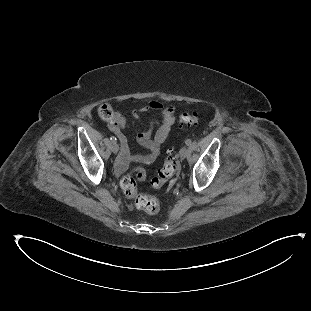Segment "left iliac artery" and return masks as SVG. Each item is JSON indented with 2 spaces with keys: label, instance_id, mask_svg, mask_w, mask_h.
<instances>
[{
  "label": "left iliac artery",
  "instance_id": "left-iliac-artery-1",
  "mask_svg": "<svg viewBox=\"0 0 311 311\" xmlns=\"http://www.w3.org/2000/svg\"><path fill=\"white\" fill-rule=\"evenodd\" d=\"M191 142H192L191 139H187V140L185 141V144H186V145H190Z\"/></svg>",
  "mask_w": 311,
  "mask_h": 311
}]
</instances>
